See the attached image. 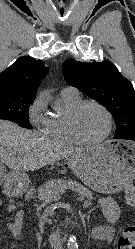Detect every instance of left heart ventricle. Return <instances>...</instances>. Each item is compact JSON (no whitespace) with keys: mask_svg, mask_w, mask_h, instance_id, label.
<instances>
[{"mask_svg":"<svg viewBox=\"0 0 135 249\" xmlns=\"http://www.w3.org/2000/svg\"><path fill=\"white\" fill-rule=\"evenodd\" d=\"M108 123L104 113L94 106L86 107L78 118V128L82 135L88 139H96L103 136Z\"/></svg>","mask_w":135,"mask_h":249,"instance_id":"left-heart-ventricle-1","label":"left heart ventricle"}]
</instances>
